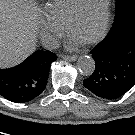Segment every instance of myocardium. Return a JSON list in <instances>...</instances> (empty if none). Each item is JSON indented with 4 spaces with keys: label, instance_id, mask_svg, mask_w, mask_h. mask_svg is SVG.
Masks as SVG:
<instances>
[{
    "label": "myocardium",
    "instance_id": "myocardium-1",
    "mask_svg": "<svg viewBox=\"0 0 135 135\" xmlns=\"http://www.w3.org/2000/svg\"><path fill=\"white\" fill-rule=\"evenodd\" d=\"M86 1L87 0H80L77 8L75 9L73 14L68 19L66 26H65V31L68 36H70V29H71V26L73 25V23L75 21H77L84 13ZM110 14H111V0H106L101 29L93 38H91L87 42L83 43V45H85V46L94 45V44L100 42L106 36V34L109 30V25H110Z\"/></svg>",
    "mask_w": 135,
    "mask_h": 135
}]
</instances>
